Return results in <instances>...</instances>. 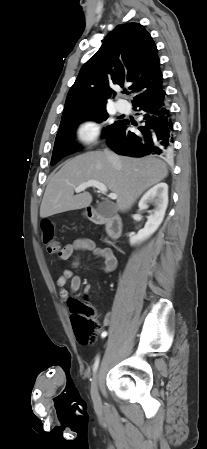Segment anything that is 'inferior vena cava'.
<instances>
[{
    "mask_svg": "<svg viewBox=\"0 0 207 449\" xmlns=\"http://www.w3.org/2000/svg\"><path fill=\"white\" fill-rule=\"evenodd\" d=\"M105 155L107 156V158L113 165H115V166L119 165V158L117 155L110 152L109 150H105Z\"/></svg>",
    "mask_w": 207,
    "mask_h": 449,
    "instance_id": "inferior-vena-cava-1",
    "label": "inferior vena cava"
}]
</instances>
